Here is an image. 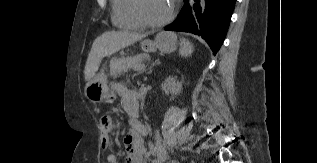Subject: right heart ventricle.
I'll return each mask as SVG.
<instances>
[{
  "instance_id": "right-heart-ventricle-1",
  "label": "right heart ventricle",
  "mask_w": 317,
  "mask_h": 163,
  "mask_svg": "<svg viewBox=\"0 0 317 163\" xmlns=\"http://www.w3.org/2000/svg\"><path fill=\"white\" fill-rule=\"evenodd\" d=\"M112 22L121 29L144 28L135 14L134 0H112Z\"/></svg>"
}]
</instances>
